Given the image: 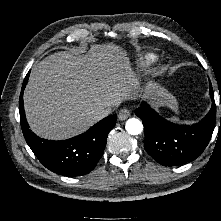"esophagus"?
<instances>
[{"mask_svg":"<svg viewBox=\"0 0 221 221\" xmlns=\"http://www.w3.org/2000/svg\"><path fill=\"white\" fill-rule=\"evenodd\" d=\"M129 116H130V111L124 108L119 112L118 118L119 120H126Z\"/></svg>","mask_w":221,"mask_h":221,"instance_id":"1","label":"esophagus"}]
</instances>
